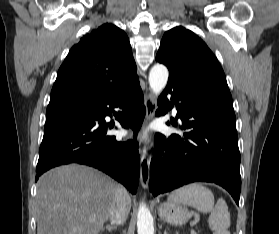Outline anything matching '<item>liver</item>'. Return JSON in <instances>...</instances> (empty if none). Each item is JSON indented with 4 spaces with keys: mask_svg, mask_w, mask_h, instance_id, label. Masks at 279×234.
I'll use <instances>...</instances> for the list:
<instances>
[{
    "mask_svg": "<svg viewBox=\"0 0 279 234\" xmlns=\"http://www.w3.org/2000/svg\"><path fill=\"white\" fill-rule=\"evenodd\" d=\"M118 184L82 165L45 173L36 195L37 234H98L109 219Z\"/></svg>",
    "mask_w": 279,
    "mask_h": 234,
    "instance_id": "6515ba94",
    "label": "liver"
}]
</instances>
